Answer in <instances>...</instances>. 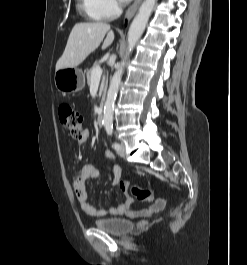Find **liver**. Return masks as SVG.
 Listing matches in <instances>:
<instances>
[{"label":"liver","instance_id":"obj_1","mask_svg":"<svg viewBox=\"0 0 247 265\" xmlns=\"http://www.w3.org/2000/svg\"><path fill=\"white\" fill-rule=\"evenodd\" d=\"M106 33L107 37L102 49H106L114 40V33L109 24L102 22L75 24L69 35L65 50L56 63V71L80 65L99 47Z\"/></svg>","mask_w":247,"mask_h":265}]
</instances>
